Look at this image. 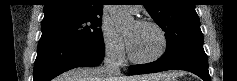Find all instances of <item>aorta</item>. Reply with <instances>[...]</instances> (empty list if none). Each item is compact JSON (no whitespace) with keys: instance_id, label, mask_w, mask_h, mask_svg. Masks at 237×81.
Wrapping results in <instances>:
<instances>
[{"instance_id":"1","label":"aorta","mask_w":237,"mask_h":81,"mask_svg":"<svg viewBox=\"0 0 237 81\" xmlns=\"http://www.w3.org/2000/svg\"><path fill=\"white\" fill-rule=\"evenodd\" d=\"M109 13L117 31H124L134 23L133 16L127 12L123 5H112Z\"/></svg>"}]
</instances>
